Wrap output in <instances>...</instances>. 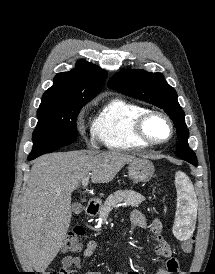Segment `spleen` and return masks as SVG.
<instances>
[{
	"mask_svg": "<svg viewBox=\"0 0 215 274\" xmlns=\"http://www.w3.org/2000/svg\"><path fill=\"white\" fill-rule=\"evenodd\" d=\"M175 186L177 190V212L174 234L180 240L190 237V225L194 222L197 212V200L194 187L189 177L181 172H176Z\"/></svg>",
	"mask_w": 215,
	"mask_h": 274,
	"instance_id": "3e777b00",
	"label": "spleen"
}]
</instances>
